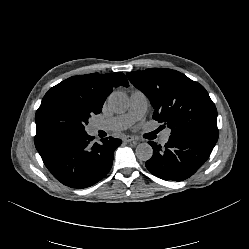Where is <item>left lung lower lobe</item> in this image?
Returning a JSON list of instances; mask_svg holds the SVG:
<instances>
[{
    "mask_svg": "<svg viewBox=\"0 0 249 249\" xmlns=\"http://www.w3.org/2000/svg\"><path fill=\"white\" fill-rule=\"evenodd\" d=\"M147 169L164 180L182 181L192 176L209 158L216 142L187 135H171L162 147L154 141Z\"/></svg>",
    "mask_w": 249,
    "mask_h": 249,
    "instance_id": "0a47b994",
    "label": "left lung lower lobe"
}]
</instances>
